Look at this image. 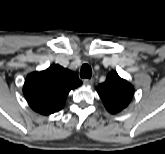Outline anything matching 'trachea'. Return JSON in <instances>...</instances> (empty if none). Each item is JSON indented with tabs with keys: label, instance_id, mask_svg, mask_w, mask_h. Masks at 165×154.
I'll use <instances>...</instances> for the list:
<instances>
[{
	"label": "trachea",
	"instance_id": "3493384b",
	"mask_svg": "<svg viewBox=\"0 0 165 154\" xmlns=\"http://www.w3.org/2000/svg\"><path fill=\"white\" fill-rule=\"evenodd\" d=\"M80 76L82 78L90 79L92 76V69L88 64H83L80 71Z\"/></svg>",
	"mask_w": 165,
	"mask_h": 154
}]
</instances>
